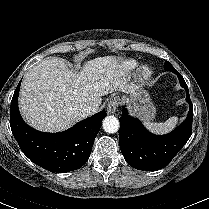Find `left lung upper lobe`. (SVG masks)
Wrapping results in <instances>:
<instances>
[{
	"label": "left lung upper lobe",
	"instance_id": "left-lung-upper-lobe-1",
	"mask_svg": "<svg viewBox=\"0 0 209 209\" xmlns=\"http://www.w3.org/2000/svg\"><path fill=\"white\" fill-rule=\"evenodd\" d=\"M164 69L172 72L176 70L168 61L164 63Z\"/></svg>",
	"mask_w": 209,
	"mask_h": 209
}]
</instances>
